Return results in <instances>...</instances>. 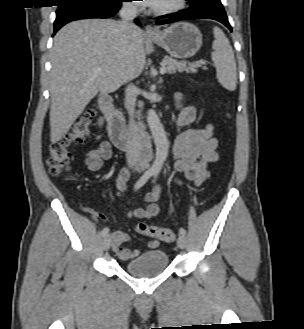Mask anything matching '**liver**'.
<instances>
[{
  "instance_id": "6515ba94",
  "label": "liver",
  "mask_w": 304,
  "mask_h": 329,
  "mask_svg": "<svg viewBox=\"0 0 304 329\" xmlns=\"http://www.w3.org/2000/svg\"><path fill=\"white\" fill-rule=\"evenodd\" d=\"M145 61L143 32L137 27L127 37L111 19L79 20L60 29L51 49V142L69 131L98 92H113L138 77Z\"/></svg>"
}]
</instances>
